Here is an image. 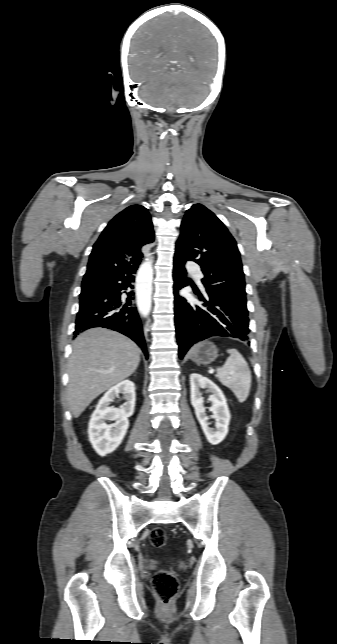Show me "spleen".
Here are the masks:
<instances>
[{"label":"spleen","instance_id":"1","mask_svg":"<svg viewBox=\"0 0 337 644\" xmlns=\"http://www.w3.org/2000/svg\"><path fill=\"white\" fill-rule=\"evenodd\" d=\"M230 356L221 368L217 369L216 377L228 387L239 402H244L250 392L251 372L246 360L236 349H228Z\"/></svg>","mask_w":337,"mask_h":644}]
</instances>
